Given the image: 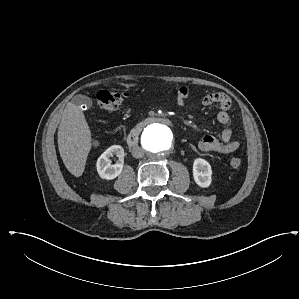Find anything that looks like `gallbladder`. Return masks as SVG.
<instances>
[{
	"label": "gallbladder",
	"instance_id": "bac80fb5",
	"mask_svg": "<svg viewBox=\"0 0 299 299\" xmlns=\"http://www.w3.org/2000/svg\"><path fill=\"white\" fill-rule=\"evenodd\" d=\"M73 103L78 105H84L86 108H90L92 105V100L84 95H77L73 98Z\"/></svg>",
	"mask_w": 299,
	"mask_h": 299
}]
</instances>
